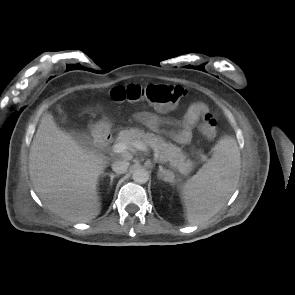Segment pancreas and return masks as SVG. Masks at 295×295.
Instances as JSON below:
<instances>
[{"label":"pancreas","instance_id":"obj_1","mask_svg":"<svg viewBox=\"0 0 295 295\" xmlns=\"http://www.w3.org/2000/svg\"><path fill=\"white\" fill-rule=\"evenodd\" d=\"M116 142H126L132 144L141 142L151 147L162 163L168 162L171 167L186 174L192 170L193 162L187 158L180 147L166 142L162 137L153 133L144 132L138 128H130L120 131Z\"/></svg>","mask_w":295,"mask_h":295}]
</instances>
